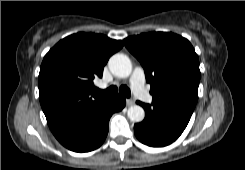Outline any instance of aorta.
I'll return each mask as SVG.
<instances>
[{
    "instance_id": "obj_1",
    "label": "aorta",
    "mask_w": 245,
    "mask_h": 170,
    "mask_svg": "<svg viewBox=\"0 0 245 170\" xmlns=\"http://www.w3.org/2000/svg\"><path fill=\"white\" fill-rule=\"evenodd\" d=\"M109 69L113 75L119 78H127L132 72V63L128 56L117 53L108 62ZM128 118L132 122H141L145 117L144 109L139 105L128 108Z\"/></svg>"
}]
</instances>
